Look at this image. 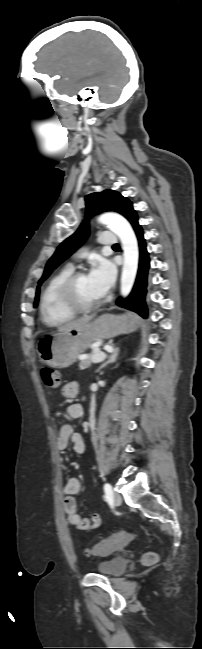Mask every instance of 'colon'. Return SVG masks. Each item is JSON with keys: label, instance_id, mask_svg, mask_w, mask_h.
<instances>
[{"label": "colon", "instance_id": "5ec220e1", "mask_svg": "<svg viewBox=\"0 0 202 649\" xmlns=\"http://www.w3.org/2000/svg\"><path fill=\"white\" fill-rule=\"evenodd\" d=\"M41 379L44 385L50 389H56L60 386V373L56 369L43 367L40 371ZM134 538L131 532L121 531L111 537L101 540L92 548L86 550L87 555H107L113 551L125 548ZM142 561L146 565H153L158 561V555L148 552L143 555Z\"/></svg>", "mask_w": 202, "mask_h": 649}]
</instances>
